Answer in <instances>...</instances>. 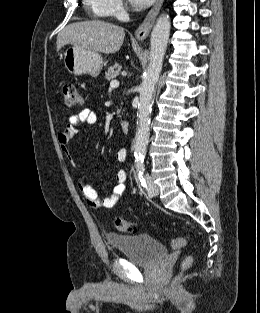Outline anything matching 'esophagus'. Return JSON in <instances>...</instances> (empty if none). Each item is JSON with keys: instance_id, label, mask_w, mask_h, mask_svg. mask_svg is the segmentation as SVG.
<instances>
[{"instance_id": "1", "label": "esophagus", "mask_w": 260, "mask_h": 313, "mask_svg": "<svg viewBox=\"0 0 260 313\" xmlns=\"http://www.w3.org/2000/svg\"><path fill=\"white\" fill-rule=\"evenodd\" d=\"M164 0H157L154 6L151 8L142 24L135 31V36L138 40H144L150 33L157 14L163 4Z\"/></svg>"}]
</instances>
